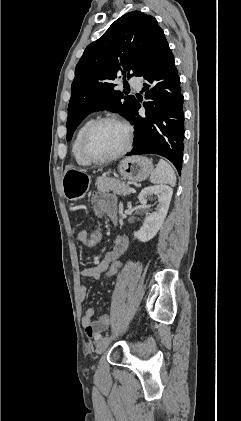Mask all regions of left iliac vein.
Here are the masks:
<instances>
[{
	"instance_id": "4c4485c4",
	"label": "left iliac vein",
	"mask_w": 241,
	"mask_h": 421,
	"mask_svg": "<svg viewBox=\"0 0 241 421\" xmlns=\"http://www.w3.org/2000/svg\"><path fill=\"white\" fill-rule=\"evenodd\" d=\"M109 343H110V338L108 337L101 338L96 345V353L99 355L102 354L108 347Z\"/></svg>"
}]
</instances>
